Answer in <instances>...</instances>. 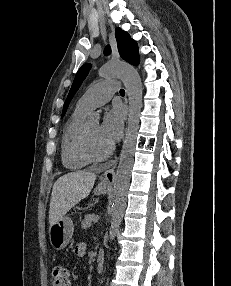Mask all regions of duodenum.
Listing matches in <instances>:
<instances>
[{"instance_id":"obj_1","label":"duodenum","mask_w":231,"mask_h":286,"mask_svg":"<svg viewBox=\"0 0 231 286\" xmlns=\"http://www.w3.org/2000/svg\"><path fill=\"white\" fill-rule=\"evenodd\" d=\"M103 269H104V254L103 252H99L96 260V271L98 273H101Z\"/></svg>"}]
</instances>
